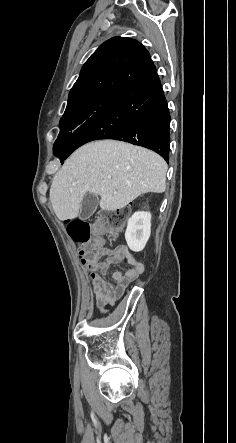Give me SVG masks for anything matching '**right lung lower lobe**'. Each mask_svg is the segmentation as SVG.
<instances>
[{
  "mask_svg": "<svg viewBox=\"0 0 236 443\" xmlns=\"http://www.w3.org/2000/svg\"><path fill=\"white\" fill-rule=\"evenodd\" d=\"M97 139L143 146L168 161L170 113L154 65L131 86L108 98L77 129L66 150L54 153L63 163L75 149Z\"/></svg>",
  "mask_w": 236,
  "mask_h": 443,
  "instance_id": "obj_1",
  "label": "right lung lower lobe"
}]
</instances>
